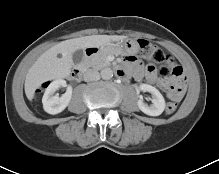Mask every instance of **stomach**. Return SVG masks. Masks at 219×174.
I'll return each instance as SVG.
<instances>
[{"label": "stomach", "instance_id": "1", "mask_svg": "<svg viewBox=\"0 0 219 174\" xmlns=\"http://www.w3.org/2000/svg\"><path fill=\"white\" fill-rule=\"evenodd\" d=\"M105 51L124 52L133 55L139 51V45L136 40L124 39L110 42L109 44L100 48V52Z\"/></svg>", "mask_w": 219, "mask_h": 174}]
</instances>
